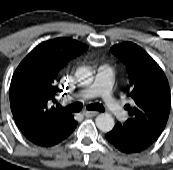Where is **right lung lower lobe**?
I'll return each instance as SVG.
<instances>
[{"label": "right lung lower lobe", "mask_w": 173, "mask_h": 170, "mask_svg": "<svg viewBox=\"0 0 173 170\" xmlns=\"http://www.w3.org/2000/svg\"><path fill=\"white\" fill-rule=\"evenodd\" d=\"M76 126H77V122L72 117L71 121L68 124L48 133L46 135H42L40 137L30 139L29 141H31L33 144L41 146V147L54 146V145L60 143L62 140L66 139L73 132V130L76 128Z\"/></svg>", "instance_id": "obj_1"}]
</instances>
